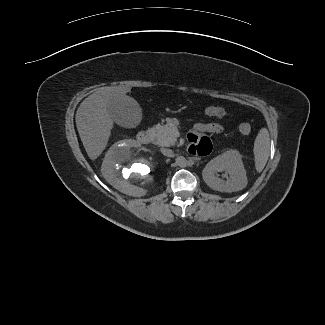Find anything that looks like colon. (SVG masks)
Listing matches in <instances>:
<instances>
[{"mask_svg": "<svg viewBox=\"0 0 325 325\" xmlns=\"http://www.w3.org/2000/svg\"><path fill=\"white\" fill-rule=\"evenodd\" d=\"M226 113V110L220 106L211 105L204 109V114L209 117L222 118ZM239 130L243 135H249L251 133V126L248 123L242 122L239 124Z\"/></svg>", "mask_w": 325, "mask_h": 325, "instance_id": "obj_1", "label": "colon"}]
</instances>
